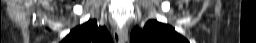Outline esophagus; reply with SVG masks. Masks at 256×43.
<instances>
[{"label":"esophagus","instance_id":"esophagus-1","mask_svg":"<svg viewBox=\"0 0 256 43\" xmlns=\"http://www.w3.org/2000/svg\"><path fill=\"white\" fill-rule=\"evenodd\" d=\"M128 26L127 24L123 25V30L118 34V37L115 38V43H128Z\"/></svg>","mask_w":256,"mask_h":43}]
</instances>
